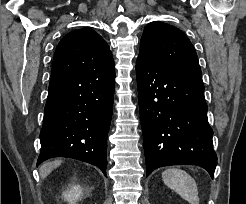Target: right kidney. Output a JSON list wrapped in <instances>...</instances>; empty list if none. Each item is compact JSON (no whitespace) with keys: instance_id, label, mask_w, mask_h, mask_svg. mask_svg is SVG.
<instances>
[{"instance_id":"ca27d5eb","label":"right kidney","mask_w":246,"mask_h":204,"mask_svg":"<svg viewBox=\"0 0 246 204\" xmlns=\"http://www.w3.org/2000/svg\"><path fill=\"white\" fill-rule=\"evenodd\" d=\"M63 198L69 204H76L82 198V187L80 185H73L63 193Z\"/></svg>"}]
</instances>
